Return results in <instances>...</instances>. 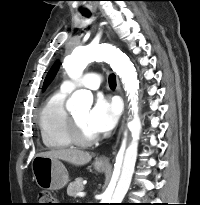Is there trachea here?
<instances>
[{
  "mask_svg": "<svg viewBox=\"0 0 200 205\" xmlns=\"http://www.w3.org/2000/svg\"><path fill=\"white\" fill-rule=\"evenodd\" d=\"M85 16H89V14H85ZM109 85L110 87H116V76L115 75H110Z\"/></svg>",
  "mask_w": 200,
  "mask_h": 205,
  "instance_id": "obj_1",
  "label": "trachea"
}]
</instances>
